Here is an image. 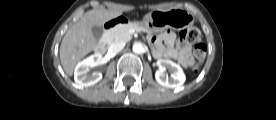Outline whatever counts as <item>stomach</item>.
Here are the masks:
<instances>
[{
    "label": "stomach",
    "mask_w": 276,
    "mask_h": 120,
    "mask_svg": "<svg viewBox=\"0 0 276 120\" xmlns=\"http://www.w3.org/2000/svg\"><path fill=\"white\" fill-rule=\"evenodd\" d=\"M193 24V15L182 8L152 11L139 23L140 26L150 32H162L168 28L181 31L191 27Z\"/></svg>",
    "instance_id": "0dacf381"
}]
</instances>
